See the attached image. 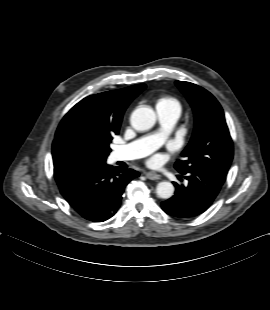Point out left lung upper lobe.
Instances as JSON below:
<instances>
[{
    "instance_id": "5c2ea615",
    "label": "left lung upper lobe",
    "mask_w": 270,
    "mask_h": 310,
    "mask_svg": "<svg viewBox=\"0 0 270 310\" xmlns=\"http://www.w3.org/2000/svg\"><path fill=\"white\" fill-rule=\"evenodd\" d=\"M176 85L193 108L195 128L182 153L185 160L177 161L175 168L180 173L199 169L226 177L233 158V144L220 104L198 85L184 81H176Z\"/></svg>"
}]
</instances>
